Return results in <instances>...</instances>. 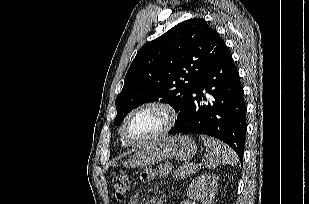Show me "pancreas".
<instances>
[{"label":"pancreas","instance_id":"1","mask_svg":"<svg viewBox=\"0 0 309 204\" xmlns=\"http://www.w3.org/2000/svg\"><path fill=\"white\" fill-rule=\"evenodd\" d=\"M197 171V166L193 165L192 163H187L182 166H180L173 174V178L178 180V179H183L186 177H189L193 173Z\"/></svg>","mask_w":309,"mask_h":204}]
</instances>
